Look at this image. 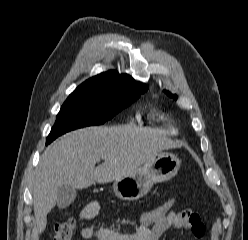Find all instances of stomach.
Here are the masks:
<instances>
[{
  "label": "stomach",
  "instance_id": "1",
  "mask_svg": "<svg viewBox=\"0 0 248 240\" xmlns=\"http://www.w3.org/2000/svg\"><path fill=\"white\" fill-rule=\"evenodd\" d=\"M180 159L172 153H159L134 172L115 180L113 191L121 200H138L151 190L155 183L174 177L180 169Z\"/></svg>",
  "mask_w": 248,
  "mask_h": 240
}]
</instances>
